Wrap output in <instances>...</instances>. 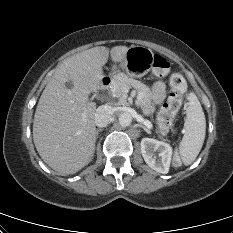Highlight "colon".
<instances>
[{
  "mask_svg": "<svg viewBox=\"0 0 233 233\" xmlns=\"http://www.w3.org/2000/svg\"><path fill=\"white\" fill-rule=\"evenodd\" d=\"M170 63L160 55H154L152 63V71L157 77H164L169 73ZM171 92L167 102L161 108L158 115V129L161 134H166L171 128L177 112L182 105L183 93L186 89L184 78L174 73L169 79ZM172 164L178 168L182 165L179 154H174Z\"/></svg>",
  "mask_w": 233,
  "mask_h": 233,
  "instance_id": "5ec220e1",
  "label": "colon"
}]
</instances>
